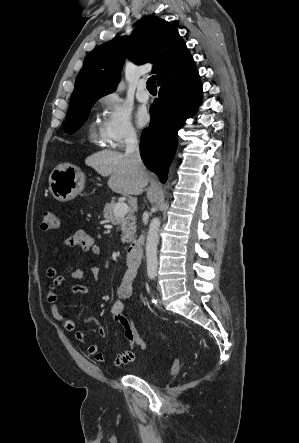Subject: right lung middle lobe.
I'll return each instance as SVG.
<instances>
[{
  "mask_svg": "<svg viewBox=\"0 0 299 443\" xmlns=\"http://www.w3.org/2000/svg\"><path fill=\"white\" fill-rule=\"evenodd\" d=\"M95 102L96 100L88 101L69 108L65 122V131L68 134L76 132L83 125L88 117L90 108Z\"/></svg>",
  "mask_w": 299,
  "mask_h": 443,
  "instance_id": "right-lung-middle-lobe-1",
  "label": "right lung middle lobe"
}]
</instances>
